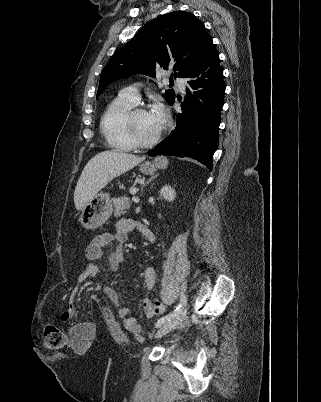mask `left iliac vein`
<instances>
[{
  "label": "left iliac vein",
  "mask_w": 321,
  "mask_h": 402,
  "mask_svg": "<svg viewBox=\"0 0 321 402\" xmlns=\"http://www.w3.org/2000/svg\"><path fill=\"white\" fill-rule=\"evenodd\" d=\"M188 313V308H183L174 318L167 321L156 333V337H162L175 329L185 319Z\"/></svg>",
  "instance_id": "obj_1"
}]
</instances>
